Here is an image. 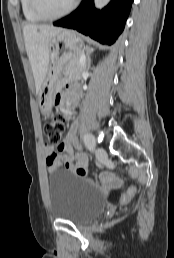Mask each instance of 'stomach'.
I'll return each mask as SVG.
<instances>
[{
  "label": "stomach",
  "mask_w": 174,
  "mask_h": 258,
  "mask_svg": "<svg viewBox=\"0 0 174 258\" xmlns=\"http://www.w3.org/2000/svg\"><path fill=\"white\" fill-rule=\"evenodd\" d=\"M82 41L74 31L62 30L49 41L50 67L39 91V107L44 116L51 113L53 95L64 65L82 54Z\"/></svg>",
  "instance_id": "obj_1"
}]
</instances>
